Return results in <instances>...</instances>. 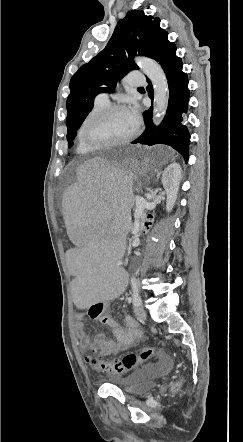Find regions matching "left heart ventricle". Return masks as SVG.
Here are the masks:
<instances>
[{
	"label": "left heart ventricle",
	"instance_id": "left-heart-ventricle-1",
	"mask_svg": "<svg viewBox=\"0 0 243 442\" xmlns=\"http://www.w3.org/2000/svg\"><path fill=\"white\" fill-rule=\"evenodd\" d=\"M134 128L127 110H120L92 123L87 135L97 143L112 142L127 137Z\"/></svg>",
	"mask_w": 243,
	"mask_h": 442
}]
</instances>
